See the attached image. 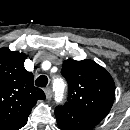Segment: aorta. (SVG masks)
Wrapping results in <instances>:
<instances>
[{
  "label": "aorta",
  "instance_id": "762f6f07",
  "mask_svg": "<svg viewBox=\"0 0 130 130\" xmlns=\"http://www.w3.org/2000/svg\"><path fill=\"white\" fill-rule=\"evenodd\" d=\"M61 83V81H56L54 83V90L56 92V100L59 101L62 97V89H59V84Z\"/></svg>",
  "mask_w": 130,
  "mask_h": 130
}]
</instances>
